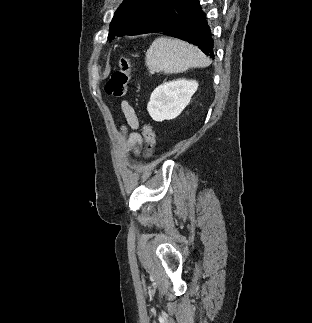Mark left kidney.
Returning a JSON list of instances; mask_svg holds the SVG:
<instances>
[{
  "instance_id": "1",
  "label": "left kidney",
  "mask_w": 312,
  "mask_h": 323,
  "mask_svg": "<svg viewBox=\"0 0 312 323\" xmlns=\"http://www.w3.org/2000/svg\"><path fill=\"white\" fill-rule=\"evenodd\" d=\"M198 88L195 80H175L155 88L148 102L147 110L155 122L174 120L188 106Z\"/></svg>"
}]
</instances>
